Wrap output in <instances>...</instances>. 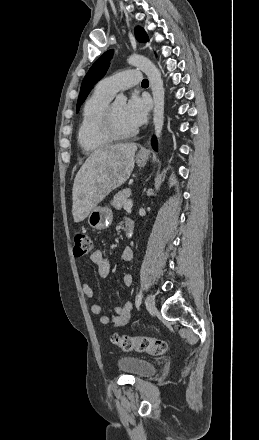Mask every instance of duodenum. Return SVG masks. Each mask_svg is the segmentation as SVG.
<instances>
[{
    "mask_svg": "<svg viewBox=\"0 0 259 440\" xmlns=\"http://www.w3.org/2000/svg\"><path fill=\"white\" fill-rule=\"evenodd\" d=\"M124 230L126 237L130 238L134 232V221L132 219H126L124 223Z\"/></svg>",
    "mask_w": 259,
    "mask_h": 440,
    "instance_id": "1",
    "label": "duodenum"
}]
</instances>
